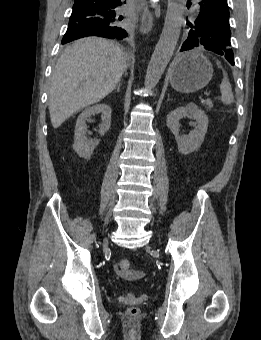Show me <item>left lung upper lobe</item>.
Here are the masks:
<instances>
[{"instance_id": "5c2ea615", "label": "left lung upper lobe", "mask_w": 261, "mask_h": 340, "mask_svg": "<svg viewBox=\"0 0 261 340\" xmlns=\"http://www.w3.org/2000/svg\"><path fill=\"white\" fill-rule=\"evenodd\" d=\"M188 25L190 30L187 37H197L201 42L200 47H204L224 57L229 52H232L229 19L212 20L202 26L193 21L191 23L188 22Z\"/></svg>"}]
</instances>
